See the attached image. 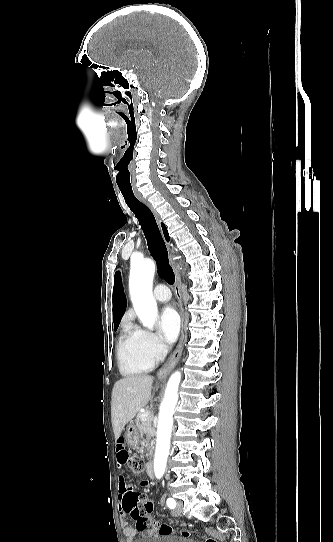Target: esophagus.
<instances>
[{
	"mask_svg": "<svg viewBox=\"0 0 333 542\" xmlns=\"http://www.w3.org/2000/svg\"><path fill=\"white\" fill-rule=\"evenodd\" d=\"M135 195L139 198V200H141V202H143L145 205H147V207L150 208V210L153 212L156 220L158 223H160V217H159V214L156 212V210L152 207L151 203L148 202L141 194L140 192H135ZM170 262L173 266V269H174V274H175V287H174V290H175V297L179 303V306H180V313L181 315L183 316V308H182V292H181V279H180V275L178 273V270L177 268L175 267L174 265V259H173V255H172V252H170ZM183 342H184V332L182 331L181 332V336H180V339L178 341V344L176 345V348L174 350V352L172 353L171 357L167 360V362L165 363L164 367L162 369H160L158 372H157V377L159 380H162V379H165L168 375V373L174 369V367L177 365L178 361L180 360L181 358V355H182V351H183Z\"/></svg>",
	"mask_w": 333,
	"mask_h": 542,
	"instance_id": "obj_1",
	"label": "esophagus"
}]
</instances>
